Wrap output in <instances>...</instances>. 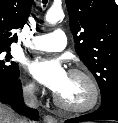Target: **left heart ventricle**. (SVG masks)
<instances>
[{
	"instance_id": "1",
	"label": "left heart ventricle",
	"mask_w": 118,
	"mask_h": 123,
	"mask_svg": "<svg viewBox=\"0 0 118 123\" xmlns=\"http://www.w3.org/2000/svg\"><path fill=\"white\" fill-rule=\"evenodd\" d=\"M57 95L68 104L79 105L89 99L90 89L82 77L69 74L65 86Z\"/></svg>"
}]
</instances>
